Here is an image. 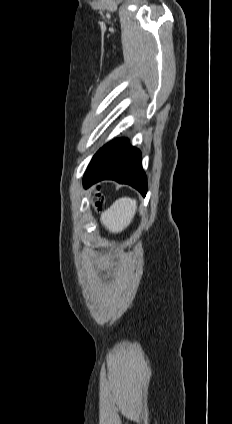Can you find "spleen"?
Masks as SVG:
<instances>
[{"label":"spleen","mask_w":232,"mask_h":424,"mask_svg":"<svg viewBox=\"0 0 232 424\" xmlns=\"http://www.w3.org/2000/svg\"><path fill=\"white\" fill-rule=\"evenodd\" d=\"M137 209L134 199L122 197L101 215V223L112 233H118L129 226Z\"/></svg>","instance_id":"1"}]
</instances>
